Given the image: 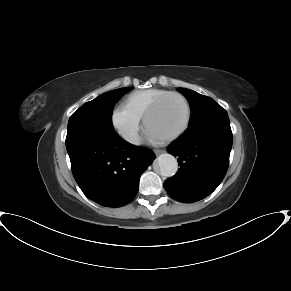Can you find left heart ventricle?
I'll list each match as a JSON object with an SVG mask.
<instances>
[{
  "instance_id": "left-heart-ventricle-1",
  "label": "left heart ventricle",
  "mask_w": 291,
  "mask_h": 291,
  "mask_svg": "<svg viewBox=\"0 0 291 291\" xmlns=\"http://www.w3.org/2000/svg\"><path fill=\"white\" fill-rule=\"evenodd\" d=\"M186 118V109L183 101L175 96L167 98L158 110L151 116L148 128L161 138L176 132Z\"/></svg>"
}]
</instances>
